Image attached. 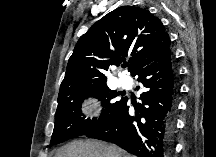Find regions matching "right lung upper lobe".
I'll use <instances>...</instances> for the list:
<instances>
[{
    "mask_svg": "<svg viewBox=\"0 0 216 157\" xmlns=\"http://www.w3.org/2000/svg\"><path fill=\"white\" fill-rule=\"evenodd\" d=\"M162 22L148 10L122 6L106 14L80 37L69 58L58 98L88 89L107 87L102 70L119 66L130 56L135 76L170 50Z\"/></svg>",
    "mask_w": 216,
    "mask_h": 157,
    "instance_id": "1",
    "label": "right lung upper lobe"
}]
</instances>
